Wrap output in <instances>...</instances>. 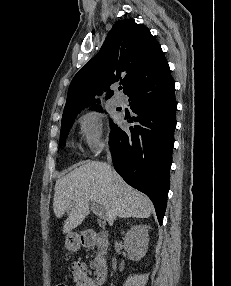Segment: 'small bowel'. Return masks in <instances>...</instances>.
<instances>
[{"label": "small bowel", "mask_w": 231, "mask_h": 286, "mask_svg": "<svg viewBox=\"0 0 231 286\" xmlns=\"http://www.w3.org/2000/svg\"><path fill=\"white\" fill-rule=\"evenodd\" d=\"M71 274L76 286H97L95 280L89 275L87 266L82 262L72 263Z\"/></svg>", "instance_id": "c3829d8e"}]
</instances>
